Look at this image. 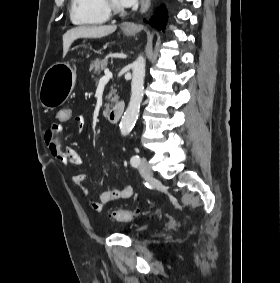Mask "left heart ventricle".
I'll return each instance as SVG.
<instances>
[{
  "mask_svg": "<svg viewBox=\"0 0 280 283\" xmlns=\"http://www.w3.org/2000/svg\"><path fill=\"white\" fill-rule=\"evenodd\" d=\"M112 2H113L115 5L122 7V5L120 4V1H119V0H112Z\"/></svg>",
  "mask_w": 280,
  "mask_h": 283,
  "instance_id": "obj_1",
  "label": "left heart ventricle"
}]
</instances>
